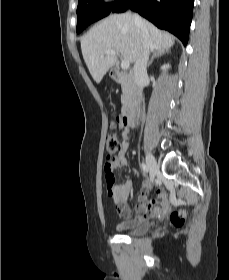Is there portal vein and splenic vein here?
Returning a JSON list of instances; mask_svg holds the SVG:
<instances>
[{
  "label": "portal vein and splenic vein",
  "instance_id": "obj_1",
  "mask_svg": "<svg viewBox=\"0 0 229 280\" xmlns=\"http://www.w3.org/2000/svg\"><path fill=\"white\" fill-rule=\"evenodd\" d=\"M104 54H105V55H118V53H117L116 51H114V50H107V51L104 52ZM129 66H130L129 60H123V61L121 62V68H122L123 70L128 69Z\"/></svg>",
  "mask_w": 229,
  "mask_h": 280
}]
</instances>
